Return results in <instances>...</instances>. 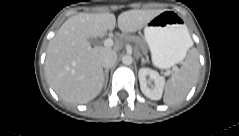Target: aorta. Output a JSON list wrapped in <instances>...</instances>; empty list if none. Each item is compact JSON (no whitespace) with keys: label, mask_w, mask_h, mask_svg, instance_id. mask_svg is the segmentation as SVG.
Wrapping results in <instances>:
<instances>
[{"label":"aorta","mask_w":239,"mask_h":136,"mask_svg":"<svg viewBox=\"0 0 239 136\" xmlns=\"http://www.w3.org/2000/svg\"><path fill=\"white\" fill-rule=\"evenodd\" d=\"M133 62V58L130 55H125L122 57V63L124 65H131Z\"/></svg>","instance_id":"obj_1"}]
</instances>
